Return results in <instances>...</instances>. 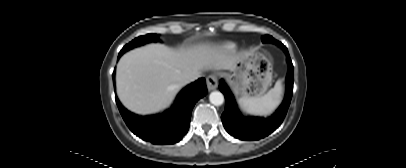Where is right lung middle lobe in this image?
<instances>
[{
	"instance_id": "1",
	"label": "right lung middle lobe",
	"mask_w": 406,
	"mask_h": 168,
	"mask_svg": "<svg viewBox=\"0 0 406 168\" xmlns=\"http://www.w3.org/2000/svg\"><path fill=\"white\" fill-rule=\"evenodd\" d=\"M159 41V38L157 36V34H147L144 36H140L135 38L133 41H131L130 43H128L127 45H125L122 50L120 51L119 54L124 53L125 51H128L134 47L140 46V45H144L146 43L149 42H157Z\"/></svg>"
}]
</instances>
